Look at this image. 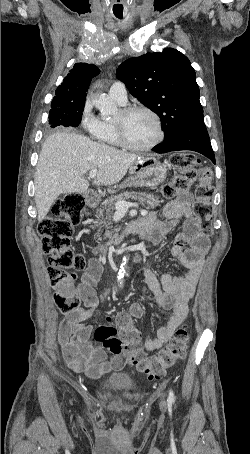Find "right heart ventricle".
Returning a JSON list of instances; mask_svg holds the SVG:
<instances>
[{"label":"right heart ventricle","instance_id":"1","mask_svg":"<svg viewBox=\"0 0 250 454\" xmlns=\"http://www.w3.org/2000/svg\"><path fill=\"white\" fill-rule=\"evenodd\" d=\"M98 121V128L92 134L95 139L101 143L119 145L118 137L114 127V121L102 118H98Z\"/></svg>","mask_w":250,"mask_h":454}]
</instances>
